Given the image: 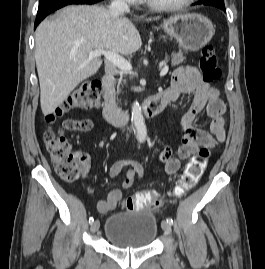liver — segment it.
Segmentation results:
<instances>
[{
  "label": "liver",
  "mask_w": 265,
  "mask_h": 269,
  "mask_svg": "<svg viewBox=\"0 0 265 269\" xmlns=\"http://www.w3.org/2000/svg\"><path fill=\"white\" fill-rule=\"evenodd\" d=\"M141 46L140 35L129 18H113L109 10L96 5L68 6L55 19L44 20L35 33L43 114L53 113L83 80L98 71L102 60L90 58L89 52L130 55Z\"/></svg>",
  "instance_id": "liver-1"
}]
</instances>
